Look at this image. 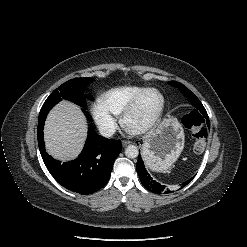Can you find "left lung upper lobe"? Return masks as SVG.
<instances>
[{
    "label": "left lung upper lobe",
    "mask_w": 247,
    "mask_h": 247,
    "mask_svg": "<svg viewBox=\"0 0 247 247\" xmlns=\"http://www.w3.org/2000/svg\"><path fill=\"white\" fill-rule=\"evenodd\" d=\"M170 85L172 86H177L179 90L188 98V100L191 102V104L198 109L205 118H208L207 112L202 105V103L199 101V99L196 97V95L193 94L186 86H184L181 83H176V82H169Z\"/></svg>",
    "instance_id": "1"
}]
</instances>
